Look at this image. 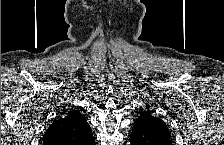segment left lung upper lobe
Listing matches in <instances>:
<instances>
[{"label":"left lung upper lobe","mask_w":224,"mask_h":145,"mask_svg":"<svg viewBox=\"0 0 224 145\" xmlns=\"http://www.w3.org/2000/svg\"><path fill=\"white\" fill-rule=\"evenodd\" d=\"M140 116L149 118V121H151L153 123L154 130L159 132L163 136V138L170 141V132L163 120L151 116L150 112H147V113L143 112V113H141Z\"/></svg>","instance_id":"left-lung-upper-lobe-1"}]
</instances>
